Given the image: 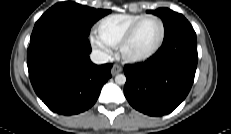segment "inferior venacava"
<instances>
[{
	"mask_svg": "<svg viewBox=\"0 0 231 134\" xmlns=\"http://www.w3.org/2000/svg\"><path fill=\"white\" fill-rule=\"evenodd\" d=\"M90 59L95 64H104L109 61V56L101 51H93L90 55Z\"/></svg>",
	"mask_w": 231,
	"mask_h": 134,
	"instance_id": "1",
	"label": "inferior vena cava"
}]
</instances>
